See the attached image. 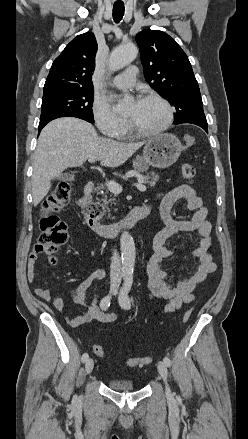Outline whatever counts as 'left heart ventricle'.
Returning a JSON list of instances; mask_svg holds the SVG:
<instances>
[{"label": "left heart ventricle", "mask_w": 248, "mask_h": 439, "mask_svg": "<svg viewBox=\"0 0 248 439\" xmlns=\"http://www.w3.org/2000/svg\"><path fill=\"white\" fill-rule=\"evenodd\" d=\"M127 117L141 129L153 130L164 124L167 111L157 100L141 99L129 106Z\"/></svg>", "instance_id": "left-heart-ventricle-1"}]
</instances>
